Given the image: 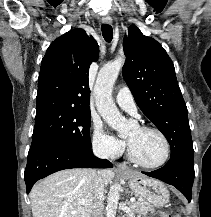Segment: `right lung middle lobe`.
<instances>
[{"label": "right lung middle lobe", "mask_w": 211, "mask_h": 217, "mask_svg": "<svg viewBox=\"0 0 211 217\" xmlns=\"http://www.w3.org/2000/svg\"><path fill=\"white\" fill-rule=\"evenodd\" d=\"M90 111L50 113L35 119L32 143L52 142L79 150L91 149Z\"/></svg>", "instance_id": "right-lung-middle-lobe-1"}]
</instances>
